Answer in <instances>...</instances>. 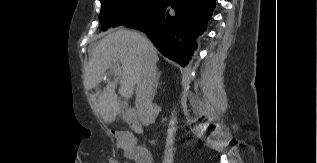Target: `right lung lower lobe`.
I'll return each instance as SVG.
<instances>
[{
    "instance_id": "1",
    "label": "right lung lower lobe",
    "mask_w": 317,
    "mask_h": 163,
    "mask_svg": "<svg viewBox=\"0 0 317 163\" xmlns=\"http://www.w3.org/2000/svg\"><path fill=\"white\" fill-rule=\"evenodd\" d=\"M214 6L215 0H163L149 15L126 27L146 32L164 56L184 66Z\"/></svg>"
}]
</instances>
